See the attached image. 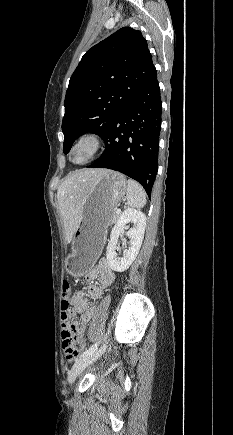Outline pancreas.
Here are the masks:
<instances>
[{"label":"pancreas","instance_id":"cf45deb5","mask_svg":"<svg viewBox=\"0 0 233 435\" xmlns=\"http://www.w3.org/2000/svg\"><path fill=\"white\" fill-rule=\"evenodd\" d=\"M118 217H119V214L117 212L114 213L113 218H112V222H115L118 219Z\"/></svg>","mask_w":233,"mask_h":435}]
</instances>
